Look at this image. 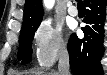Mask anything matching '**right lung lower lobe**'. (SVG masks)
Wrapping results in <instances>:
<instances>
[{
  "label": "right lung lower lobe",
  "mask_w": 107,
  "mask_h": 75,
  "mask_svg": "<svg viewBox=\"0 0 107 75\" xmlns=\"http://www.w3.org/2000/svg\"><path fill=\"white\" fill-rule=\"evenodd\" d=\"M89 9L82 28L84 38L72 34L68 43L70 67L74 75H103L100 59L103 55L105 0H84Z\"/></svg>",
  "instance_id": "98d812e1"
}]
</instances>
